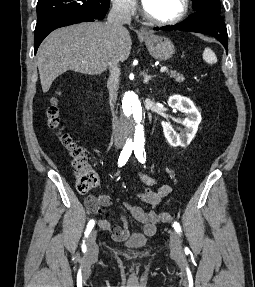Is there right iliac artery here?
I'll use <instances>...</instances> for the list:
<instances>
[{
	"instance_id": "82829eb1",
	"label": "right iliac artery",
	"mask_w": 255,
	"mask_h": 287,
	"mask_svg": "<svg viewBox=\"0 0 255 287\" xmlns=\"http://www.w3.org/2000/svg\"><path fill=\"white\" fill-rule=\"evenodd\" d=\"M132 150H133L132 147H124V149L122 150V152L120 154V157L118 159V166L119 167H122L123 165L126 164V162L128 161V159H129V157H130V155L132 153ZM94 224H95L94 220H90L89 221V223L87 225L86 232H85V237L88 236V234L91 232ZM82 249L86 250V246H85L84 243L82 245Z\"/></svg>"
}]
</instances>
